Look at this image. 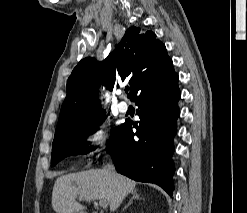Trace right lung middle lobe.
<instances>
[{
	"mask_svg": "<svg viewBox=\"0 0 247 213\" xmlns=\"http://www.w3.org/2000/svg\"><path fill=\"white\" fill-rule=\"evenodd\" d=\"M104 112L97 115L84 125L72 127L55 134L52 144L51 164L54 166L64 157L87 153L92 147H87L85 138L97 131L95 120L102 119ZM122 127V125H121ZM121 127L111 131V137L107 143V150L115 143Z\"/></svg>",
	"mask_w": 247,
	"mask_h": 213,
	"instance_id": "1",
	"label": "right lung middle lobe"
}]
</instances>
